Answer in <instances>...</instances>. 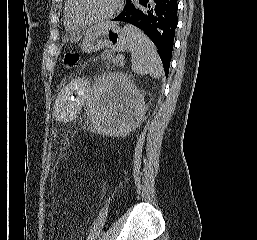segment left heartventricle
Returning <instances> with one entry per match:
<instances>
[{
  "instance_id": "1",
  "label": "left heart ventricle",
  "mask_w": 257,
  "mask_h": 240,
  "mask_svg": "<svg viewBox=\"0 0 257 240\" xmlns=\"http://www.w3.org/2000/svg\"><path fill=\"white\" fill-rule=\"evenodd\" d=\"M115 0H77L76 12L83 19H94L108 13Z\"/></svg>"
}]
</instances>
